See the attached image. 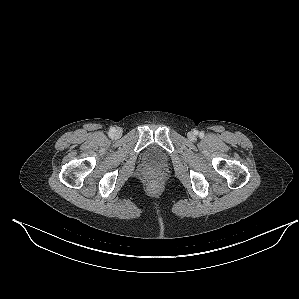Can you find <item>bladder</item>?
I'll return each instance as SVG.
<instances>
[{"instance_id": "obj_1", "label": "bladder", "mask_w": 299, "mask_h": 299, "mask_svg": "<svg viewBox=\"0 0 299 299\" xmlns=\"http://www.w3.org/2000/svg\"><path fill=\"white\" fill-rule=\"evenodd\" d=\"M147 160L154 164H159L164 161V155L157 148H150L146 154Z\"/></svg>"}]
</instances>
